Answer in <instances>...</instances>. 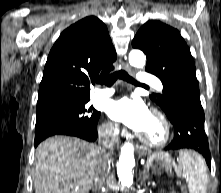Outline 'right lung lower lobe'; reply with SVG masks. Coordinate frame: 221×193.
Segmentation results:
<instances>
[{
  "label": "right lung lower lobe",
  "instance_id": "obj_1",
  "mask_svg": "<svg viewBox=\"0 0 221 193\" xmlns=\"http://www.w3.org/2000/svg\"><path fill=\"white\" fill-rule=\"evenodd\" d=\"M59 134L76 136V137L93 142L97 138V127L91 131H77L74 129H67V130L62 131ZM47 137H49V136L35 138V146H37L42 140L46 139Z\"/></svg>",
  "mask_w": 221,
  "mask_h": 193
}]
</instances>
